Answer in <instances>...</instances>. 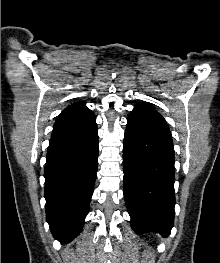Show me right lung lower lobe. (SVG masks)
I'll return each instance as SVG.
<instances>
[{"instance_id":"1","label":"right lung lower lobe","mask_w":220,"mask_h":263,"mask_svg":"<svg viewBox=\"0 0 220 263\" xmlns=\"http://www.w3.org/2000/svg\"><path fill=\"white\" fill-rule=\"evenodd\" d=\"M97 163V126L80 136L52 134L44 172L46 221L61 243L71 241L83 227Z\"/></svg>"}]
</instances>
